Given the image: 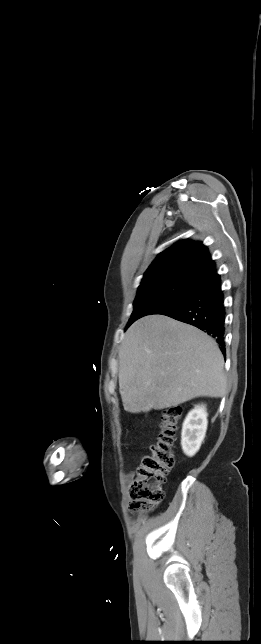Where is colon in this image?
I'll return each instance as SVG.
<instances>
[{"instance_id": "5ec220e1", "label": "colon", "mask_w": 261, "mask_h": 644, "mask_svg": "<svg viewBox=\"0 0 261 644\" xmlns=\"http://www.w3.org/2000/svg\"><path fill=\"white\" fill-rule=\"evenodd\" d=\"M181 414L182 409L178 406L169 407L162 413L157 441L151 445L150 455L142 459L131 483V508L135 513L153 510L164 498L162 487L174 466V443Z\"/></svg>"}]
</instances>
